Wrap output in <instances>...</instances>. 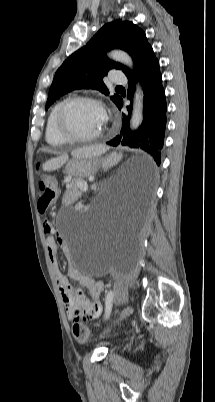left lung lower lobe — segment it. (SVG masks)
Returning <instances> with one entry per match:
<instances>
[{
	"instance_id": "obj_1",
	"label": "left lung lower lobe",
	"mask_w": 215,
	"mask_h": 402,
	"mask_svg": "<svg viewBox=\"0 0 215 402\" xmlns=\"http://www.w3.org/2000/svg\"><path fill=\"white\" fill-rule=\"evenodd\" d=\"M128 98L133 99L135 81L138 79L144 92V117L137 131L129 129V120L132 105L127 107L128 115L122 114L123 126L120 134L107 142L108 145H125L131 148H140L148 152L154 160V165H160L161 149L164 143L167 105L162 86V77L159 70V61L156 57L150 59L140 70L127 76ZM120 110L123 106L121 98L116 104ZM153 174V166L147 169L145 176Z\"/></svg>"
}]
</instances>
